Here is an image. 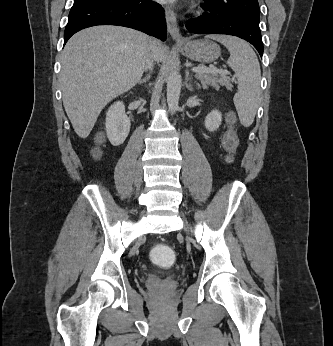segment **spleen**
I'll return each instance as SVG.
<instances>
[{
	"label": "spleen",
	"instance_id": "1",
	"mask_svg": "<svg viewBox=\"0 0 333 346\" xmlns=\"http://www.w3.org/2000/svg\"><path fill=\"white\" fill-rule=\"evenodd\" d=\"M208 38L223 44L230 52L228 65L234 70L238 81V91L234 95V104L240 122L249 127L258 108L261 70L258 58L245 41L236 37L212 35Z\"/></svg>",
	"mask_w": 333,
	"mask_h": 346
}]
</instances>
